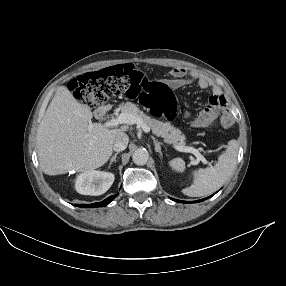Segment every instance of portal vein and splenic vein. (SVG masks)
<instances>
[{"instance_id": "1", "label": "portal vein and splenic vein", "mask_w": 286, "mask_h": 286, "mask_svg": "<svg viewBox=\"0 0 286 286\" xmlns=\"http://www.w3.org/2000/svg\"><path fill=\"white\" fill-rule=\"evenodd\" d=\"M137 123L135 117L129 113H120L117 117H114L104 123L107 128L115 127L119 124H134ZM144 132H150V128L146 125H140ZM176 150L181 152H189L196 156V158L203 162V164H208V161L199 153V151L193 147L189 146H176Z\"/></svg>"}]
</instances>
